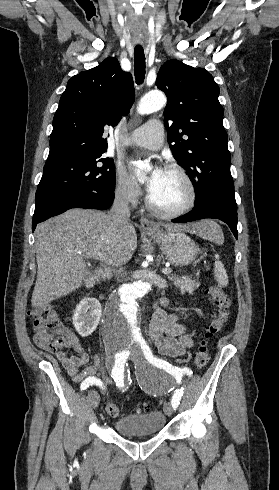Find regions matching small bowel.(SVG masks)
Here are the masks:
<instances>
[{"label": "small bowel", "instance_id": "1", "mask_svg": "<svg viewBox=\"0 0 279 490\" xmlns=\"http://www.w3.org/2000/svg\"><path fill=\"white\" fill-rule=\"evenodd\" d=\"M169 305V301L165 299L155 305L149 322L148 335L162 355L177 357L192 345V340L185 326L178 321L177 316L165 311V307ZM71 347L77 353L76 356H69L66 352L59 351L56 357L72 380L83 388H87L94 383L98 371L102 369L101 356L95 353L92 356V364L80 370V367L90 361V355L80 345L78 338L73 335L71 336Z\"/></svg>", "mask_w": 279, "mask_h": 490}]
</instances>
